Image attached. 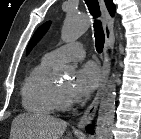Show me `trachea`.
Here are the masks:
<instances>
[{"label": "trachea", "instance_id": "obj_1", "mask_svg": "<svg viewBox=\"0 0 141 139\" xmlns=\"http://www.w3.org/2000/svg\"><path fill=\"white\" fill-rule=\"evenodd\" d=\"M87 4V7L91 13V15L94 18V31H95V41H96V50L98 53H101L103 51L104 41H105V35L103 32V29L101 28V22L97 20L98 17H100V8H99V2L98 0H84Z\"/></svg>", "mask_w": 141, "mask_h": 139}]
</instances>
